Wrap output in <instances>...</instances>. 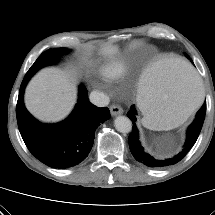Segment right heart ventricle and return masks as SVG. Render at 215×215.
<instances>
[{"instance_id": "right-heart-ventricle-1", "label": "right heart ventricle", "mask_w": 215, "mask_h": 215, "mask_svg": "<svg viewBox=\"0 0 215 215\" xmlns=\"http://www.w3.org/2000/svg\"><path fill=\"white\" fill-rule=\"evenodd\" d=\"M130 63L131 61L128 58L113 60L102 66L101 74L103 77L110 80L122 78L127 73Z\"/></svg>"}]
</instances>
